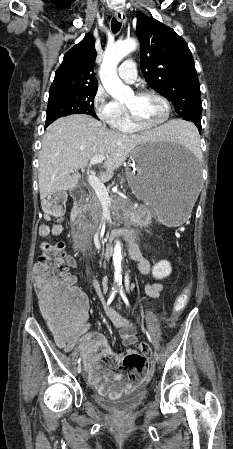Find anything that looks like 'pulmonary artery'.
<instances>
[{
  "label": "pulmonary artery",
  "mask_w": 233,
  "mask_h": 449,
  "mask_svg": "<svg viewBox=\"0 0 233 449\" xmlns=\"http://www.w3.org/2000/svg\"><path fill=\"white\" fill-rule=\"evenodd\" d=\"M118 75L120 79L127 83H134L137 78L136 64L132 60H125L119 67Z\"/></svg>",
  "instance_id": "obj_1"
}]
</instances>
